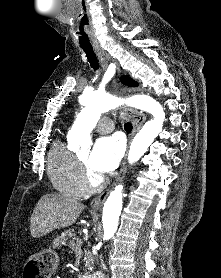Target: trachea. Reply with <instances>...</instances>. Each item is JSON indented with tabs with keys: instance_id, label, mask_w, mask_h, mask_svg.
Wrapping results in <instances>:
<instances>
[{
	"instance_id": "trachea-1",
	"label": "trachea",
	"mask_w": 221,
	"mask_h": 278,
	"mask_svg": "<svg viewBox=\"0 0 221 278\" xmlns=\"http://www.w3.org/2000/svg\"><path fill=\"white\" fill-rule=\"evenodd\" d=\"M83 51L86 54L87 60L90 63V66L97 71L99 69L98 59L96 57V54L92 48H82ZM124 128L127 133H130L132 131V124L129 122H126L124 124Z\"/></svg>"
}]
</instances>
